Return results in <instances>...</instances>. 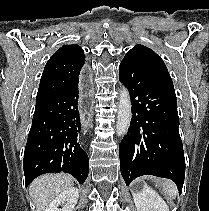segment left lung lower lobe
Instances as JSON below:
<instances>
[{
	"label": "left lung lower lobe",
	"instance_id": "left-lung-lower-lobe-1",
	"mask_svg": "<svg viewBox=\"0 0 209 211\" xmlns=\"http://www.w3.org/2000/svg\"><path fill=\"white\" fill-rule=\"evenodd\" d=\"M119 80L130 92L133 114L119 144L126 185L139 176L154 175L173 180L181 194L185 159L173 83L128 55L120 64Z\"/></svg>",
	"mask_w": 209,
	"mask_h": 211
}]
</instances>
